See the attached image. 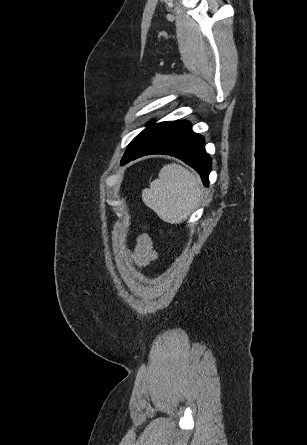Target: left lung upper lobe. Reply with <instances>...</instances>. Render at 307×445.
<instances>
[{
  "label": "left lung upper lobe",
  "mask_w": 307,
  "mask_h": 445,
  "mask_svg": "<svg viewBox=\"0 0 307 445\" xmlns=\"http://www.w3.org/2000/svg\"><path fill=\"white\" fill-rule=\"evenodd\" d=\"M170 122H161L157 124H153L148 126L145 130L139 133L129 144L127 150L121 160V165H123L128 157L133 154L145 141H147L150 137L161 131L163 128L167 127Z\"/></svg>",
  "instance_id": "5c2ea615"
}]
</instances>
